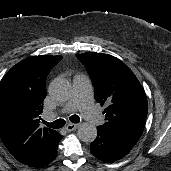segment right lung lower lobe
Masks as SVG:
<instances>
[{
    "label": "right lung lower lobe",
    "mask_w": 171,
    "mask_h": 171,
    "mask_svg": "<svg viewBox=\"0 0 171 171\" xmlns=\"http://www.w3.org/2000/svg\"><path fill=\"white\" fill-rule=\"evenodd\" d=\"M62 136L58 133L55 141L50 145L48 151L38 160L30 164L32 167H44L47 166L57 156V144Z\"/></svg>",
    "instance_id": "1"
}]
</instances>
